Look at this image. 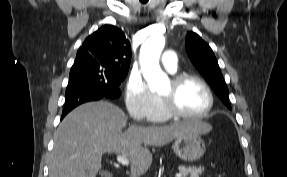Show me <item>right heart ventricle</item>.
<instances>
[{"mask_svg":"<svg viewBox=\"0 0 287 177\" xmlns=\"http://www.w3.org/2000/svg\"><path fill=\"white\" fill-rule=\"evenodd\" d=\"M169 119V115L165 112L162 101L157 97V108L156 111L151 118V121L162 123L166 122Z\"/></svg>","mask_w":287,"mask_h":177,"instance_id":"right-heart-ventricle-1","label":"right heart ventricle"}]
</instances>
